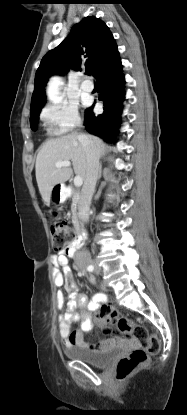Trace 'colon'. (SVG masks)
Masks as SVG:
<instances>
[{"label": "colon", "instance_id": "colon-1", "mask_svg": "<svg viewBox=\"0 0 187 415\" xmlns=\"http://www.w3.org/2000/svg\"><path fill=\"white\" fill-rule=\"evenodd\" d=\"M51 235L55 252H70L76 242L74 228L65 220H54L51 223ZM97 322L106 333H120L140 343V347L134 348L130 353L121 358L116 365L117 378L123 380L133 374L139 367L145 365L150 355L157 354L160 350L159 339L149 334L148 329L135 324L118 312L117 309L102 305L96 309Z\"/></svg>", "mask_w": 187, "mask_h": 415}]
</instances>
